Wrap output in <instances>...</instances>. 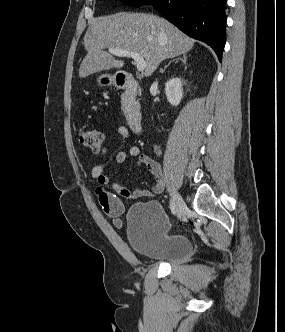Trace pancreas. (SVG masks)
<instances>
[{"instance_id":"cf45deb5","label":"pancreas","mask_w":285,"mask_h":332,"mask_svg":"<svg viewBox=\"0 0 285 332\" xmlns=\"http://www.w3.org/2000/svg\"><path fill=\"white\" fill-rule=\"evenodd\" d=\"M127 97H128V93H124L122 96H121V104H122V109L127 111L128 108H129V101L127 100ZM132 105L135 106V107H139V104L138 103H134L132 102Z\"/></svg>"}]
</instances>
